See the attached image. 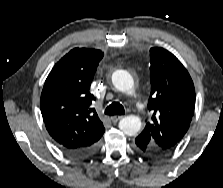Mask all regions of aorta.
<instances>
[{
  "instance_id": "aorta-1",
  "label": "aorta",
  "mask_w": 223,
  "mask_h": 188,
  "mask_svg": "<svg viewBox=\"0 0 223 188\" xmlns=\"http://www.w3.org/2000/svg\"><path fill=\"white\" fill-rule=\"evenodd\" d=\"M112 83L119 91L130 95L134 92V80L127 71L116 70L112 75ZM141 125L138 116L128 115L120 120L119 129L126 135L134 136L140 131Z\"/></svg>"
}]
</instances>
